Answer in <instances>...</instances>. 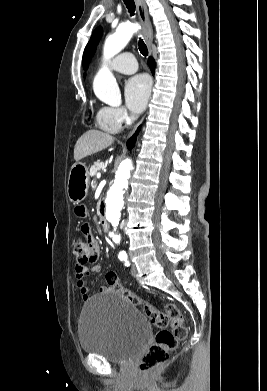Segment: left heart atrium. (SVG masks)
Listing matches in <instances>:
<instances>
[{
	"instance_id": "obj_1",
	"label": "left heart atrium",
	"mask_w": 267,
	"mask_h": 391,
	"mask_svg": "<svg viewBox=\"0 0 267 391\" xmlns=\"http://www.w3.org/2000/svg\"><path fill=\"white\" fill-rule=\"evenodd\" d=\"M151 83L146 75L140 74L130 78L124 88L125 101L134 113L142 112L148 102Z\"/></svg>"
}]
</instances>
